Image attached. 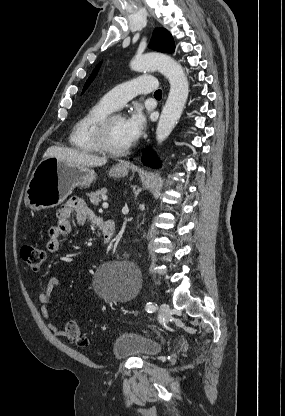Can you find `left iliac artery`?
Listing matches in <instances>:
<instances>
[{
    "label": "left iliac artery",
    "instance_id": "1",
    "mask_svg": "<svg viewBox=\"0 0 285 416\" xmlns=\"http://www.w3.org/2000/svg\"><path fill=\"white\" fill-rule=\"evenodd\" d=\"M156 306H157V304H154L152 302H148L145 306V309L148 313H152L157 309Z\"/></svg>",
    "mask_w": 285,
    "mask_h": 416
}]
</instances>
